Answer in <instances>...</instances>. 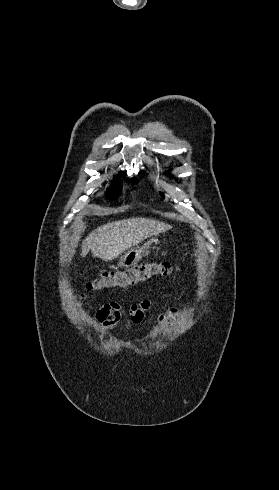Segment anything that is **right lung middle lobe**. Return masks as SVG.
Returning a JSON list of instances; mask_svg holds the SVG:
<instances>
[{
  "instance_id": "right-lung-middle-lobe-1",
  "label": "right lung middle lobe",
  "mask_w": 279,
  "mask_h": 490,
  "mask_svg": "<svg viewBox=\"0 0 279 490\" xmlns=\"http://www.w3.org/2000/svg\"><path fill=\"white\" fill-rule=\"evenodd\" d=\"M120 186H121L120 182L118 180H115L112 184V187L110 188V191L111 192L114 191V192L118 193V192H120Z\"/></svg>"
}]
</instances>
